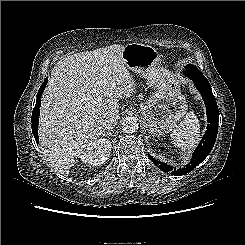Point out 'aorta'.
<instances>
[{
    "instance_id": "aorta-1",
    "label": "aorta",
    "mask_w": 245,
    "mask_h": 245,
    "mask_svg": "<svg viewBox=\"0 0 245 245\" xmlns=\"http://www.w3.org/2000/svg\"><path fill=\"white\" fill-rule=\"evenodd\" d=\"M121 125L124 132L132 134L137 131L139 124L135 117L128 116L122 119Z\"/></svg>"
}]
</instances>
